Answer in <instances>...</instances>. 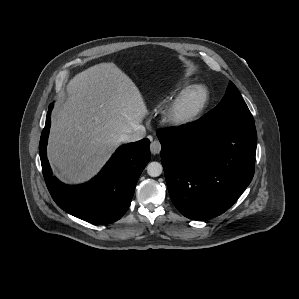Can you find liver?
Returning <instances> with one entry per match:
<instances>
[{
  "instance_id": "1",
  "label": "liver",
  "mask_w": 299,
  "mask_h": 299,
  "mask_svg": "<svg viewBox=\"0 0 299 299\" xmlns=\"http://www.w3.org/2000/svg\"><path fill=\"white\" fill-rule=\"evenodd\" d=\"M52 117L48 158L59 178L82 183L95 175L148 114L135 83L114 63L74 76Z\"/></svg>"
}]
</instances>
